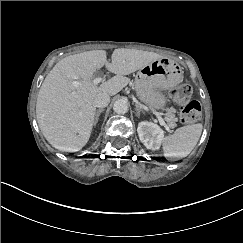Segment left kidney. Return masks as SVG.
I'll list each match as a JSON object with an SVG mask.
<instances>
[{
	"label": "left kidney",
	"mask_w": 243,
	"mask_h": 243,
	"mask_svg": "<svg viewBox=\"0 0 243 243\" xmlns=\"http://www.w3.org/2000/svg\"><path fill=\"white\" fill-rule=\"evenodd\" d=\"M137 132L140 141L147 149L158 150L164 138V131L152 122L142 121L138 124Z\"/></svg>",
	"instance_id": "1"
}]
</instances>
